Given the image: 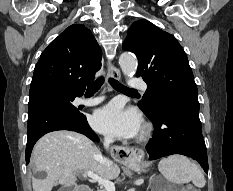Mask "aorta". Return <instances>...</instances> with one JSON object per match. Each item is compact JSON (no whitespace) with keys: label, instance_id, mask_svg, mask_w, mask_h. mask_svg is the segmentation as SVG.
<instances>
[{"label":"aorta","instance_id":"762f6f07","mask_svg":"<svg viewBox=\"0 0 233 191\" xmlns=\"http://www.w3.org/2000/svg\"><path fill=\"white\" fill-rule=\"evenodd\" d=\"M119 65L125 76L132 77L137 70V59L132 53L124 52L119 57Z\"/></svg>","mask_w":233,"mask_h":191}]
</instances>
